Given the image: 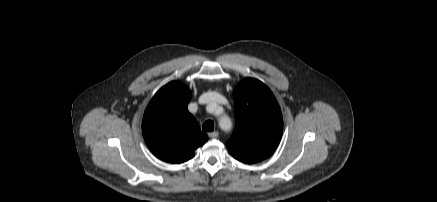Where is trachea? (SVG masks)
Returning <instances> with one entry per match:
<instances>
[{
	"mask_svg": "<svg viewBox=\"0 0 437 202\" xmlns=\"http://www.w3.org/2000/svg\"><path fill=\"white\" fill-rule=\"evenodd\" d=\"M202 129L206 132H212L214 130V122L212 120L205 121Z\"/></svg>",
	"mask_w": 437,
	"mask_h": 202,
	"instance_id": "obj_1",
	"label": "trachea"
}]
</instances>
